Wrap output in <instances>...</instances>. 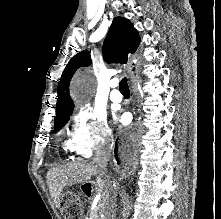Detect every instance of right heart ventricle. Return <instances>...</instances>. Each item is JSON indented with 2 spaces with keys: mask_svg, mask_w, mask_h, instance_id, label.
Listing matches in <instances>:
<instances>
[{
  "mask_svg": "<svg viewBox=\"0 0 221 219\" xmlns=\"http://www.w3.org/2000/svg\"><path fill=\"white\" fill-rule=\"evenodd\" d=\"M64 146H65L66 150H71V151L75 150L73 144L71 142H69V141L65 142Z\"/></svg>",
  "mask_w": 221,
  "mask_h": 219,
  "instance_id": "right-heart-ventricle-1",
  "label": "right heart ventricle"
}]
</instances>
